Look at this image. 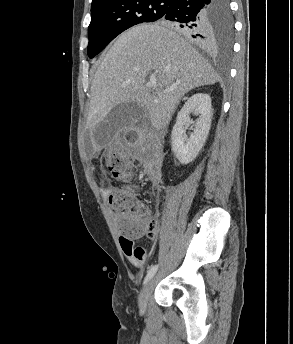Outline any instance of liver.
I'll use <instances>...</instances> for the list:
<instances>
[{
    "instance_id": "1",
    "label": "liver",
    "mask_w": 293,
    "mask_h": 344,
    "mask_svg": "<svg viewBox=\"0 0 293 344\" xmlns=\"http://www.w3.org/2000/svg\"><path fill=\"white\" fill-rule=\"evenodd\" d=\"M153 74L156 86L147 87ZM219 80L211 65L178 33L143 24L122 33L105 55L91 85L87 127L95 129L118 104L141 107L157 130L169 124L190 90ZM171 89L165 93L164 91Z\"/></svg>"
}]
</instances>
